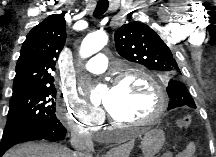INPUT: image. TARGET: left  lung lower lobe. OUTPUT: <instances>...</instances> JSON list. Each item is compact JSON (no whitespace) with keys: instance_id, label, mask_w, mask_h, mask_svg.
<instances>
[{"instance_id":"obj_1","label":"left lung lower lobe","mask_w":216,"mask_h":157,"mask_svg":"<svg viewBox=\"0 0 216 157\" xmlns=\"http://www.w3.org/2000/svg\"><path fill=\"white\" fill-rule=\"evenodd\" d=\"M181 106H182V103L172 102V104H169L168 109L170 110V109L181 107Z\"/></svg>"}]
</instances>
